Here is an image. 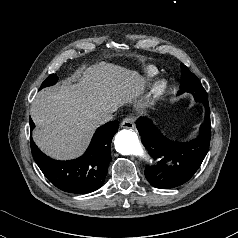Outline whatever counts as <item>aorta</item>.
<instances>
[{"label":"aorta","mask_w":238,"mask_h":238,"mask_svg":"<svg viewBox=\"0 0 238 238\" xmlns=\"http://www.w3.org/2000/svg\"><path fill=\"white\" fill-rule=\"evenodd\" d=\"M114 145L116 151L122 155L138 156L146 163L154 164V160L143 149L137 134L132 130L123 129L119 131L115 136Z\"/></svg>","instance_id":"obj_1"}]
</instances>
